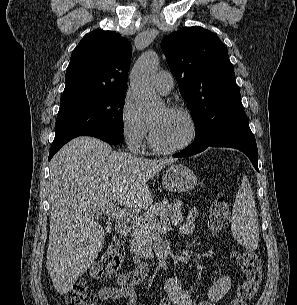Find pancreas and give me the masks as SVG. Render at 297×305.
<instances>
[{"instance_id":"cf45deb5","label":"pancreas","mask_w":297,"mask_h":305,"mask_svg":"<svg viewBox=\"0 0 297 305\" xmlns=\"http://www.w3.org/2000/svg\"><path fill=\"white\" fill-rule=\"evenodd\" d=\"M180 205V200H176L173 204L164 200L155 203L144 214L133 220L131 248L136 255L153 258L152 239L158 230V219L167 220L172 225L180 224L184 221Z\"/></svg>"}]
</instances>
